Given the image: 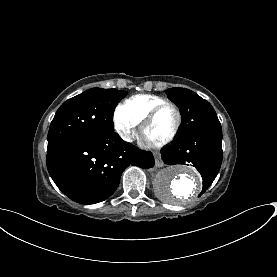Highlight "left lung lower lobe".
<instances>
[{
    "instance_id": "left-lung-lower-lobe-1",
    "label": "left lung lower lobe",
    "mask_w": 277,
    "mask_h": 277,
    "mask_svg": "<svg viewBox=\"0 0 277 277\" xmlns=\"http://www.w3.org/2000/svg\"><path fill=\"white\" fill-rule=\"evenodd\" d=\"M162 160L168 165L192 164L202 176V194L220 170L222 163L221 128L200 130L178 137L175 143L162 150Z\"/></svg>"
}]
</instances>
